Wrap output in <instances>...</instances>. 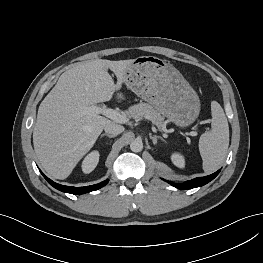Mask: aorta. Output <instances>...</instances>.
Segmentation results:
<instances>
[{"label": "aorta", "instance_id": "obj_1", "mask_svg": "<svg viewBox=\"0 0 263 263\" xmlns=\"http://www.w3.org/2000/svg\"><path fill=\"white\" fill-rule=\"evenodd\" d=\"M130 149L133 152H140L143 149V143L139 139H135L130 143Z\"/></svg>", "mask_w": 263, "mask_h": 263}]
</instances>
